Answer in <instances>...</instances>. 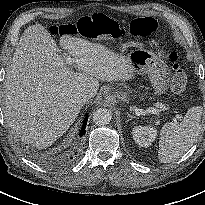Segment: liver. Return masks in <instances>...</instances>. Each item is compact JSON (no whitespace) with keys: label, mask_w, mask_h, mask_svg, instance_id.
<instances>
[{"label":"liver","mask_w":205,"mask_h":205,"mask_svg":"<svg viewBox=\"0 0 205 205\" xmlns=\"http://www.w3.org/2000/svg\"><path fill=\"white\" fill-rule=\"evenodd\" d=\"M60 45L80 72L68 66L52 35L36 24L24 31L6 73V121L21 140L38 148L52 145L73 124L83 106L75 101L77 93L92 98L99 81L134 75L127 58L103 45L71 35L62 36Z\"/></svg>","instance_id":"1"}]
</instances>
